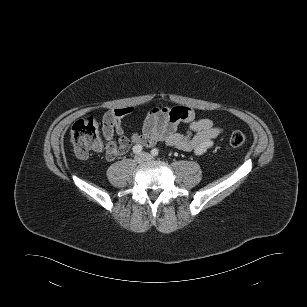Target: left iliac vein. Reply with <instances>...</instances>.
Listing matches in <instances>:
<instances>
[{
  "instance_id": "left-iliac-vein-1",
  "label": "left iliac vein",
  "mask_w": 307,
  "mask_h": 307,
  "mask_svg": "<svg viewBox=\"0 0 307 307\" xmlns=\"http://www.w3.org/2000/svg\"><path fill=\"white\" fill-rule=\"evenodd\" d=\"M142 155L145 157L146 161H150L153 159V156L150 155L149 153H142Z\"/></svg>"
}]
</instances>
